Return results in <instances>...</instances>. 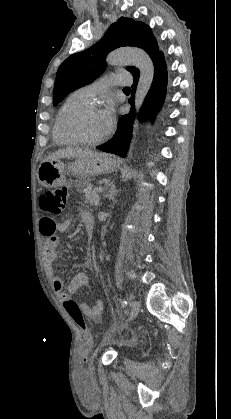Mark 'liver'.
<instances>
[{"mask_svg":"<svg viewBox=\"0 0 231 419\" xmlns=\"http://www.w3.org/2000/svg\"><path fill=\"white\" fill-rule=\"evenodd\" d=\"M93 153L94 152L92 150L69 147L57 150L56 152L47 156L44 161L60 158H79L92 155Z\"/></svg>","mask_w":231,"mask_h":419,"instance_id":"1","label":"liver"}]
</instances>
